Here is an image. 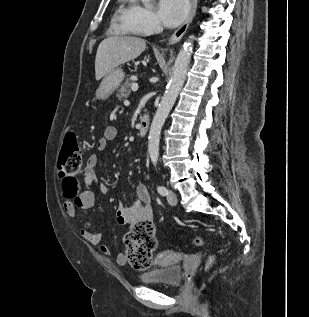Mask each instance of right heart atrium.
<instances>
[{
  "label": "right heart atrium",
  "mask_w": 309,
  "mask_h": 317,
  "mask_svg": "<svg viewBox=\"0 0 309 317\" xmlns=\"http://www.w3.org/2000/svg\"><path fill=\"white\" fill-rule=\"evenodd\" d=\"M126 21L128 25L136 32L147 34L159 28V21L155 13L133 0Z\"/></svg>",
  "instance_id": "d8ad5b80"
}]
</instances>
